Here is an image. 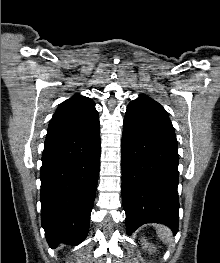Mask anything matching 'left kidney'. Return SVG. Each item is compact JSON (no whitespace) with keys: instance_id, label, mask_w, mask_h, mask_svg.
<instances>
[{"instance_id":"5707ae66","label":"left kidney","mask_w":220,"mask_h":263,"mask_svg":"<svg viewBox=\"0 0 220 263\" xmlns=\"http://www.w3.org/2000/svg\"><path fill=\"white\" fill-rule=\"evenodd\" d=\"M142 244L145 246V248L148 249L149 252H154L156 250L155 246H153L152 244H149L148 242H146L145 238H142Z\"/></svg>"}]
</instances>
